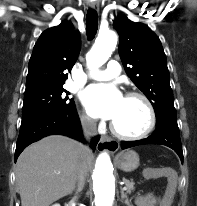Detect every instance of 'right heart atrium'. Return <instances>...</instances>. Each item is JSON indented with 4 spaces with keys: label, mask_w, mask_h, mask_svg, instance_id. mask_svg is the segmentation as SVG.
I'll return each instance as SVG.
<instances>
[{
    "label": "right heart atrium",
    "mask_w": 197,
    "mask_h": 206,
    "mask_svg": "<svg viewBox=\"0 0 197 206\" xmlns=\"http://www.w3.org/2000/svg\"><path fill=\"white\" fill-rule=\"evenodd\" d=\"M80 120H81L82 125L85 128L91 129L94 127L95 122H94L93 118L89 114H87L86 112H82L80 114Z\"/></svg>",
    "instance_id": "d8ad5b80"
}]
</instances>
